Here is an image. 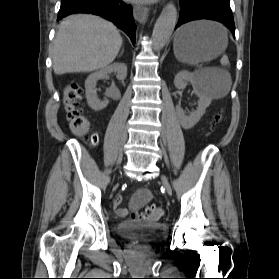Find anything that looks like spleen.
<instances>
[{"mask_svg": "<svg viewBox=\"0 0 279 279\" xmlns=\"http://www.w3.org/2000/svg\"><path fill=\"white\" fill-rule=\"evenodd\" d=\"M221 64L226 66L229 65L228 57L223 56L220 60ZM225 80L221 81L220 79L207 81L204 83L203 80V91L206 95L212 97V98H222L226 96L231 88V77L228 73H225Z\"/></svg>", "mask_w": 279, "mask_h": 279, "instance_id": "3e777b00", "label": "spleen"}]
</instances>
